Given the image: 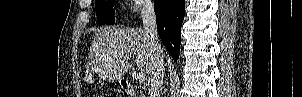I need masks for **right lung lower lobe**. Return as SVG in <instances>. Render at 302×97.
I'll return each mask as SVG.
<instances>
[{"mask_svg": "<svg viewBox=\"0 0 302 97\" xmlns=\"http://www.w3.org/2000/svg\"><path fill=\"white\" fill-rule=\"evenodd\" d=\"M154 11L160 39L174 61H177L181 41V25L185 14V0H155Z\"/></svg>", "mask_w": 302, "mask_h": 97, "instance_id": "obj_1", "label": "right lung lower lobe"}]
</instances>
